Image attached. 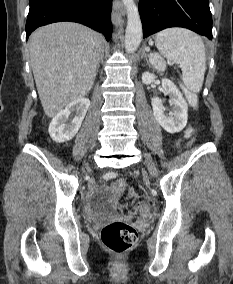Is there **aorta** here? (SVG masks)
<instances>
[{
	"instance_id": "aorta-1",
	"label": "aorta",
	"mask_w": 233,
	"mask_h": 284,
	"mask_svg": "<svg viewBox=\"0 0 233 284\" xmlns=\"http://www.w3.org/2000/svg\"><path fill=\"white\" fill-rule=\"evenodd\" d=\"M127 12V27L125 31V50L135 52L142 40V23L134 0H122Z\"/></svg>"
}]
</instances>
